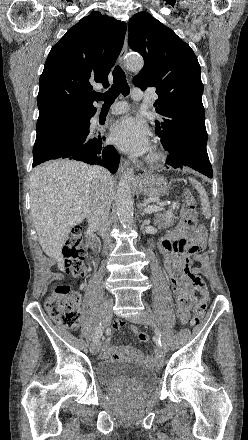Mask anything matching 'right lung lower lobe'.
Returning <instances> with one entry per match:
<instances>
[{
	"mask_svg": "<svg viewBox=\"0 0 248 440\" xmlns=\"http://www.w3.org/2000/svg\"><path fill=\"white\" fill-rule=\"evenodd\" d=\"M94 114L70 116L37 131L32 166L53 159H74L104 166L115 173L119 165L116 149L103 146L105 138L89 135V120Z\"/></svg>",
	"mask_w": 248,
	"mask_h": 440,
	"instance_id": "obj_1",
	"label": "right lung lower lobe"
}]
</instances>
